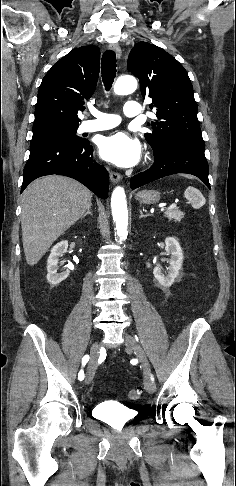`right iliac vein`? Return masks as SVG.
Returning <instances> with one entry per match:
<instances>
[{"label": "right iliac vein", "mask_w": 236, "mask_h": 486, "mask_svg": "<svg viewBox=\"0 0 236 486\" xmlns=\"http://www.w3.org/2000/svg\"><path fill=\"white\" fill-rule=\"evenodd\" d=\"M99 354V344L97 342L93 343L90 348V361L87 368L86 383L90 384L97 368V359Z\"/></svg>", "instance_id": "1"}]
</instances>
